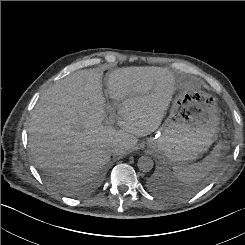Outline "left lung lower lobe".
<instances>
[{
  "instance_id": "left-lung-lower-lobe-1",
  "label": "left lung lower lobe",
  "mask_w": 245,
  "mask_h": 245,
  "mask_svg": "<svg viewBox=\"0 0 245 245\" xmlns=\"http://www.w3.org/2000/svg\"><path fill=\"white\" fill-rule=\"evenodd\" d=\"M149 188L156 193L166 196V197H174L181 194L183 187L181 183L177 181L168 182L164 181V179L154 176L150 178L148 182Z\"/></svg>"
}]
</instances>
